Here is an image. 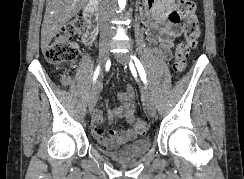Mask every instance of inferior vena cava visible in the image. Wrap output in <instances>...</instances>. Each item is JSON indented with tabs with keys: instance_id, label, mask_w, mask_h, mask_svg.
Listing matches in <instances>:
<instances>
[{
	"instance_id": "602c4592",
	"label": "inferior vena cava",
	"mask_w": 244,
	"mask_h": 179,
	"mask_svg": "<svg viewBox=\"0 0 244 179\" xmlns=\"http://www.w3.org/2000/svg\"><path fill=\"white\" fill-rule=\"evenodd\" d=\"M112 12H114V10H112ZM103 32L104 30H110V28H108V26H106V28H102Z\"/></svg>"
}]
</instances>
